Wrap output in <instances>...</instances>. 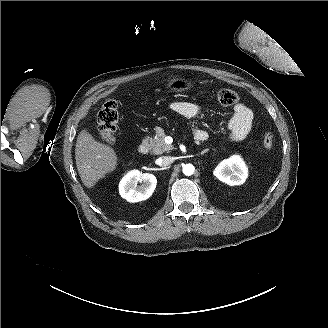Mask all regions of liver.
Instances as JSON below:
<instances>
[{
  "label": "liver",
  "instance_id": "liver-1",
  "mask_svg": "<svg viewBox=\"0 0 328 328\" xmlns=\"http://www.w3.org/2000/svg\"><path fill=\"white\" fill-rule=\"evenodd\" d=\"M75 159L80 179L88 189L115 172L120 161L116 150L97 141L88 127L78 134Z\"/></svg>",
  "mask_w": 328,
  "mask_h": 328
}]
</instances>
